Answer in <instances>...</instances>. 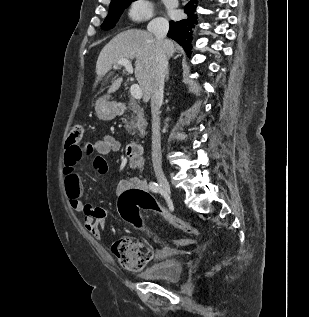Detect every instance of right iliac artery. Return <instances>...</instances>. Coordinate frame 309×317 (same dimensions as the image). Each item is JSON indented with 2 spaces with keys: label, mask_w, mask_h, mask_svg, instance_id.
I'll return each mask as SVG.
<instances>
[{
  "label": "right iliac artery",
  "mask_w": 309,
  "mask_h": 317,
  "mask_svg": "<svg viewBox=\"0 0 309 317\" xmlns=\"http://www.w3.org/2000/svg\"><path fill=\"white\" fill-rule=\"evenodd\" d=\"M149 187L152 192L159 193L161 191V188L156 182H150Z\"/></svg>",
  "instance_id": "right-iliac-artery-1"
}]
</instances>
